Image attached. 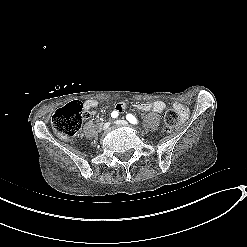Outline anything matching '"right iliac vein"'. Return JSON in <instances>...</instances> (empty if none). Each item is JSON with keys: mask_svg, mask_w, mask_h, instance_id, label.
<instances>
[{"mask_svg": "<svg viewBox=\"0 0 247 247\" xmlns=\"http://www.w3.org/2000/svg\"><path fill=\"white\" fill-rule=\"evenodd\" d=\"M110 124H111L110 122L105 123L103 125V130H107L109 128Z\"/></svg>", "mask_w": 247, "mask_h": 247, "instance_id": "1", "label": "right iliac vein"}]
</instances>
